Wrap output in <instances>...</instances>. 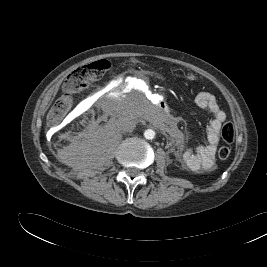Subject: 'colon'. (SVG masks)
<instances>
[{"mask_svg": "<svg viewBox=\"0 0 267 267\" xmlns=\"http://www.w3.org/2000/svg\"><path fill=\"white\" fill-rule=\"evenodd\" d=\"M110 67L106 60H100L88 65H83L73 70L65 79L63 94L56 100L49 113V121L56 124L71 110L74 94L98 80ZM225 142L231 143L235 138V128L232 123H226L221 130ZM231 150L227 146H221L218 150L220 159L225 160L230 156Z\"/></svg>", "mask_w": 267, "mask_h": 267, "instance_id": "colon-1", "label": "colon"}]
</instances>
